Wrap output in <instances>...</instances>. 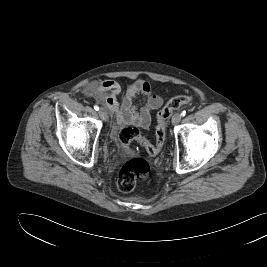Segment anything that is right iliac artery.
Listing matches in <instances>:
<instances>
[{
	"label": "right iliac artery",
	"mask_w": 267,
	"mask_h": 267,
	"mask_svg": "<svg viewBox=\"0 0 267 267\" xmlns=\"http://www.w3.org/2000/svg\"><path fill=\"white\" fill-rule=\"evenodd\" d=\"M94 109H95L96 111H98V110H99L98 105H95V106H94Z\"/></svg>",
	"instance_id": "right-iliac-artery-1"
}]
</instances>
